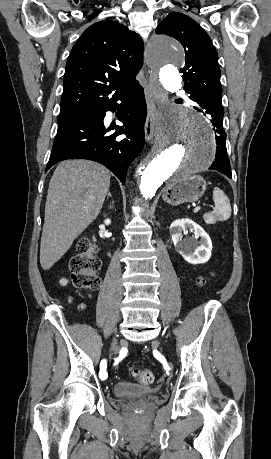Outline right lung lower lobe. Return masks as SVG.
<instances>
[{"label":"right lung lower lobe","instance_id":"98d812e1","mask_svg":"<svg viewBox=\"0 0 271 459\" xmlns=\"http://www.w3.org/2000/svg\"><path fill=\"white\" fill-rule=\"evenodd\" d=\"M121 100L124 112L122 126L106 135L103 119L106 111L119 109ZM147 106L144 91L138 83L129 91L104 101L96 115L82 116L58 124V131L45 172L54 164L66 159H88L109 168L124 184L131 162L139 155L144 145V122ZM122 133L126 138L116 139Z\"/></svg>","mask_w":271,"mask_h":459}]
</instances>
